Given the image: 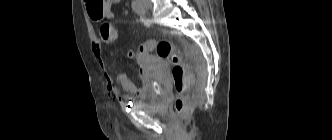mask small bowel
I'll return each instance as SVG.
<instances>
[{
  "label": "small bowel",
  "instance_id": "obj_1",
  "mask_svg": "<svg viewBox=\"0 0 332 140\" xmlns=\"http://www.w3.org/2000/svg\"><path fill=\"white\" fill-rule=\"evenodd\" d=\"M121 0H107L105 10L102 16V19H110L113 17V11L112 8L115 4L120 3ZM117 38H111V37H105L102 34H99L98 37H95L93 40V53L95 54L96 58L99 61L100 67L103 71V75L107 84V90L110 94H117L118 90L116 87V84L111 77L110 73L107 70L106 64L104 60L102 59L101 52V44H111L114 41H116ZM140 79H141V85L137 86L132 81H130L127 77V75L123 72H119L115 76V80L117 83L122 87V89L125 91V100H133L134 97H144L149 93L151 82H150V76L147 72V70L144 67L140 68L139 71Z\"/></svg>",
  "mask_w": 332,
  "mask_h": 140
}]
</instances>
